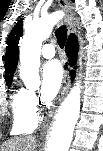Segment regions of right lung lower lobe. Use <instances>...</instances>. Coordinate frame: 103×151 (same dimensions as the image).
<instances>
[{
  "instance_id": "right-lung-lower-lobe-1",
  "label": "right lung lower lobe",
  "mask_w": 103,
  "mask_h": 151,
  "mask_svg": "<svg viewBox=\"0 0 103 151\" xmlns=\"http://www.w3.org/2000/svg\"><path fill=\"white\" fill-rule=\"evenodd\" d=\"M77 52H78V42L74 36H71L68 40L67 46H66V53L69 57L70 65L74 66L76 64V58H77ZM71 76H74V72H71Z\"/></svg>"
}]
</instances>
